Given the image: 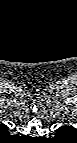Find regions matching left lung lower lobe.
<instances>
[{
    "label": "left lung lower lobe",
    "mask_w": 77,
    "mask_h": 143,
    "mask_svg": "<svg viewBox=\"0 0 77 143\" xmlns=\"http://www.w3.org/2000/svg\"><path fill=\"white\" fill-rule=\"evenodd\" d=\"M61 134H63L62 131L57 130V135H61Z\"/></svg>",
    "instance_id": "1"
}]
</instances>
